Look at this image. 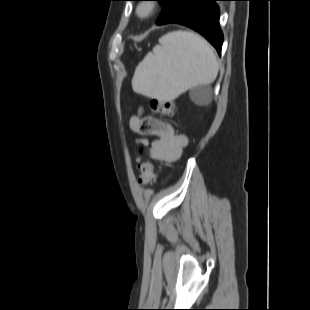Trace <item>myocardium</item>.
<instances>
[{
  "label": "myocardium",
  "instance_id": "myocardium-1",
  "mask_svg": "<svg viewBox=\"0 0 310 310\" xmlns=\"http://www.w3.org/2000/svg\"><path fill=\"white\" fill-rule=\"evenodd\" d=\"M137 14L141 18L149 17L153 12V7L151 5H140L137 8Z\"/></svg>",
  "mask_w": 310,
  "mask_h": 310
}]
</instances>
